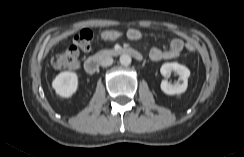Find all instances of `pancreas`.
I'll return each instance as SVG.
<instances>
[{
    "label": "pancreas",
    "instance_id": "obj_1",
    "mask_svg": "<svg viewBox=\"0 0 244 157\" xmlns=\"http://www.w3.org/2000/svg\"><path fill=\"white\" fill-rule=\"evenodd\" d=\"M108 53H110L109 50H102V51H99V52L97 53V56L102 57V56H104V55H106V54H108Z\"/></svg>",
    "mask_w": 244,
    "mask_h": 157
}]
</instances>
